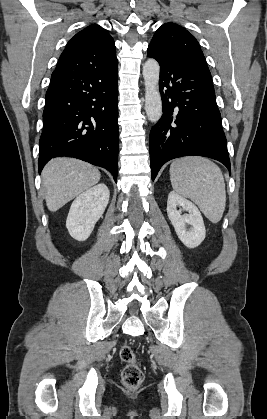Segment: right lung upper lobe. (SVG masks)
Wrapping results in <instances>:
<instances>
[{"label": "right lung upper lobe", "instance_id": "obj_1", "mask_svg": "<svg viewBox=\"0 0 267 419\" xmlns=\"http://www.w3.org/2000/svg\"><path fill=\"white\" fill-rule=\"evenodd\" d=\"M117 62L113 38L104 28L93 24L67 43L55 71L100 69Z\"/></svg>", "mask_w": 267, "mask_h": 419}]
</instances>
